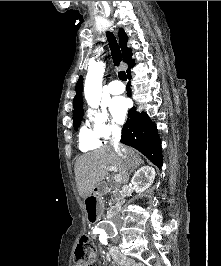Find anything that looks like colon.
<instances>
[{
    "label": "colon",
    "mask_w": 221,
    "mask_h": 266,
    "mask_svg": "<svg viewBox=\"0 0 221 266\" xmlns=\"http://www.w3.org/2000/svg\"><path fill=\"white\" fill-rule=\"evenodd\" d=\"M77 266H90L96 258V250L89 236H82L76 248Z\"/></svg>",
    "instance_id": "colon-1"
}]
</instances>
